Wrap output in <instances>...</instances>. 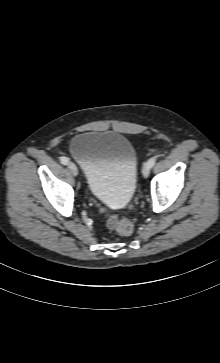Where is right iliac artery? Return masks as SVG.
<instances>
[{
  "label": "right iliac artery",
  "mask_w": 220,
  "mask_h": 363,
  "mask_svg": "<svg viewBox=\"0 0 220 363\" xmlns=\"http://www.w3.org/2000/svg\"><path fill=\"white\" fill-rule=\"evenodd\" d=\"M60 161H61V163H62L63 165H67V164H68V162H69V159H68L67 157H65V156H62V157L60 158Z\"/></svg>",
  "instance_id": "1"
}]
</instances>
